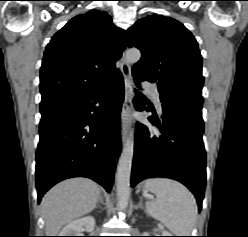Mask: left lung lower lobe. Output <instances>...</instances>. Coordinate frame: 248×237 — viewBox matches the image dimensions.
Wrapping results in <instances>:
<instances>
[{
    "instance_id": "1",
    "label": "left lung lower lobe",
    "mask_w": 248,
    "mask_h": 237,
    "mask_svg": "<svg viewBox=\"0 0 248 237\" xmlns=\"http://www.w3.org/2000/svg\"><path fill=\"white\" fill-rule=\"evenodd\" d=\"M134 106L138 111H149L138 97ZM162 109V123L151 116L148 118L160 134H154L141 123L136 124L131 186L152 177L175 179L195 195L200 211L206 182L202 103L174 100L162 103Z\"/></svg>"
}]
</instances>
